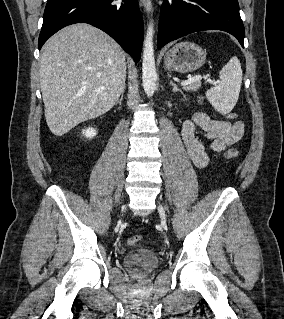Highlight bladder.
Listing matches in <instances>:
<instances>
[{"label": "bladder", "mask_w": 284, "mask_h": 319, "mask_svg": "<svg viewBox=\"0 0 284 319\" xmlns=\"http://www.w3.org/2000/svg\"><path fill=\"white\" fill-rule=\"evenodd\" d=\"M122 262L130 273L144 276L158 267L159 258L154 251L147 248H139L127 252L123 256Z\"/></svg>", "instance_id": "1"}]
</instances>
